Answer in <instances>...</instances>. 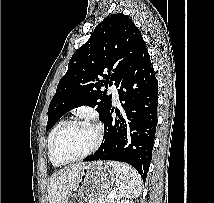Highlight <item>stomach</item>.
I'll list each match as a JSON object with an SVG mask.
<instances>
[{
    "label": "stomach",
    "mask_w": 214,
    "mask_h": 203,
    "mask_svg": "<svg viewBox=\"0 0 214 203\" xmlns=\"http://www.w3.org/2000/svg\"><path fill=\"white\" fill-rule=\"evenodd\" d=\"M115 178L114 170L104 162L85 164L76 187L64 203H102L112 189Z\"/></svg>",
    "instance_id": "obj_1"
}]
</instances>
